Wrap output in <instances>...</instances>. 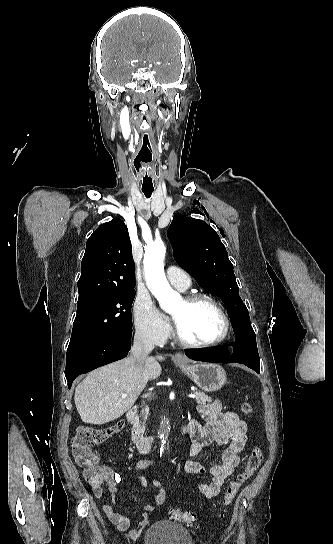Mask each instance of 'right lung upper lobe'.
<instances>
[{
	"instance_id": "obj_1",
	"label": "right lung upper lobe",
	"mask_w": 333,
	"mask_h": 544,
	"mask_svg": "<svg viewBox=\"0 0 333 544\" xmlns=\"http://www.w3.org/2000/svg\"><path fill=\"white\" fill-rule=\"evenodd\" d=\"M134 287L135 266L128 229L123 220L113 219L100 225L87 240L78 280V301Z\"/></svg>"
}]
</instances>
